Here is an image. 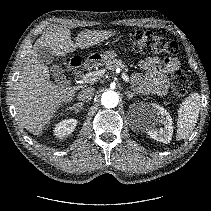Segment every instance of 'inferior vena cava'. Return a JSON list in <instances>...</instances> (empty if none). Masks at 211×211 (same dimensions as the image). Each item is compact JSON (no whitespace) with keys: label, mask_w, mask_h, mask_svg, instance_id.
I'll use <instances>...</instances> for the list:
<instances>
[{"label":"inferior vena cava","mask_w":211,"mask_h":211,"mask_svg":"<svg viewBox=\"0 0 211 211\" xmlns=\"http://www.w3.org/2000/svg\"><path fill=\"white\" fill-rule=\"evenodd\" d=\"M95 93V89L93 87H85L78 93V100L88 102L90 101Z\"/></svg>","instance_id":"602c4592"}]
</instances>
